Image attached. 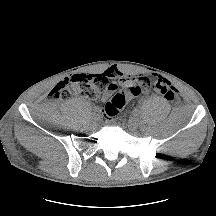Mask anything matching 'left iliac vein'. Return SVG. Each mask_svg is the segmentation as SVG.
<instances>
[{"instance_id": "4c4485c4", "label": "left iliac vein", "mask_w": 216, "mask_h": 216, "mask_svg": "<svg viewBox=\"0 0 216 216\" xmlns=\"http://www.w3.org/2000/svg\"><path fill=\"white\" fill-rule=\"evenodd\" d=\"M136 115L134 114L133 117L130 118L129 122H128V127L131 131H135L140 127V121L137 117H135Z\"/></svg>"}]
</instances>
